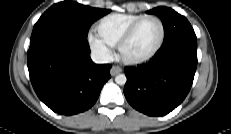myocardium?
I'll return each mask as SVG.
<instances>
[{
  "instance_id": "obj_1",
  "label": "myocardium",
  "mask_w": 231,
  "mask_h": 134,
  "mask_svg": "<svg viewBox=\"0 0 231 134\" xmlns=\"http://www.w3.org/2000/svg\"><path fill=\"white\" fill-rule=\"evenodd\" d=\"M149 19L156 20L160 25L161 35H160V39H159V42H158L157 46L154 48V50L151 53H149L148 55H146L144 57H140V58H127V57H125L124 54H123L124 47L132 39V37L134 36V34L137 31L138 27L144 21L149 20ZM164 40H165V25H164L163 21L156 15H144L143 17L138 19L135 23H133L128 28V30L125 32V34L120 39V41H119V43L117 45V48H118V52H119V55H120L121 59L126 64H128V65H140V64H144V63L152 60L158 54V52L161 50V48H162V46L164 44Z\"/></svg>"
}]
</instances>
